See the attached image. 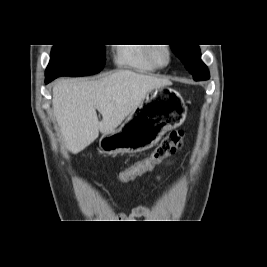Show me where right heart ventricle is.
Masks as SVG:
<instances>
[{
    "label": "right heart ventricle",
    "mask_w": 267,
    "mask_h": 267,
    "mask_svg": "<svg viewBox=\"0 0 267 267\" xmlns=\"http://www.w3.org/2000/svg\"><path fill=\"white\" fill-rule=\"evenodd\" d=\"M114 52V63L118 67L131 68L139 72H154L158 69L149 59L150 46L119 44Z\"/></svg>",
    "instance_id": "right-heart-ventricle-1"
}]
</instances>
